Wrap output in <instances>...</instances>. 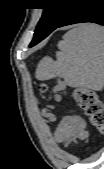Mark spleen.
<instances>
[{
    "label": "spleen",
    "mask_w": 104,
    "mask_h": 169,
    "mask_svg": "<svg viewBox=\"0 0 104 169\" xmlns=\"http://www.w3.org/2000/svg\"><path fill=\"white\" fill-rule=\"evenodd\" d=\"M56 61L43 58L36 78H63L70 87L100 91L104 85V29L95 24H82L68 31L58 43Z\"/></svg>",
    "instance_id": "obj_1"
}]
</instances>
